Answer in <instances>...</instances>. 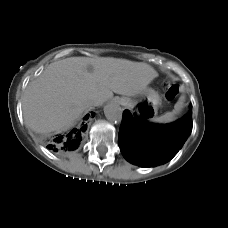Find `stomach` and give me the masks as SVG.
Returning <instances> with one entry per match:
<instances>
[{"instance_id":"0dacf381","label":"stomach","mask_w":228,"mask_h":228,"mask_svg":"<svg viewBox=\"0 0 228 228\" xmlns=\"http://www.w3.org/2000/svg\"><path fill=\"white\" fill-rule=\"evenodd\" d=\"M160 101V97L155 90L146 88L142 93V98L137 102L140 103V112L138 111V113L144 115L149 120H153L157 114ZM123 102L125 104L131 103V101L124 99Z\"/></svg>"}]
</instances>
